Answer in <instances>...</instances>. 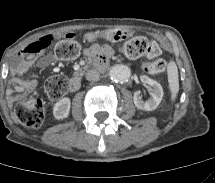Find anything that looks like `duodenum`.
Returning a JSON list of instances; mask_svg holds the SVG:
<instances>
[{
    "instance_id": "410a0bca",
    "label": "duodenum",
    "mask_w": 215,
    "mask_h": 183,
    "mask_svg": "<svg viewBox=\"0 0 215 183\" xmlns=\"http://www.w3.org/2000/svg\"><path fill=\"white\" fill-rule=\"evenodd\" d=\"M95 64L97 67L106 68L108 66V61L107 60H96ZM82 78H83L82 73H78L73 78H71L68 83V90L71 92L78 90L81 86Z\"/></svg>"
}]
</instances>
